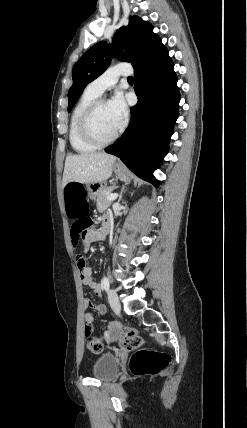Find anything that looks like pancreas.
<instances>
[{
  "instance_id": "pancreas-1",
  "label": "pancreas",
  "mask_w": 247,
  "mask_h": 428,
  "mask_svg": "<svg viewBox=\"0 0 247 428\" xmlns=\"http://www.w3.org/2000/svg\"><path fill=\"white\" fill-rule=\"evenodd\" d=\"M115 188V186H103L98 191L97 194V209L99 212H103L107 207L110 206L111 201L107 200V197L110 195L111 191Z\"/></svg>"
}]
</instances>
